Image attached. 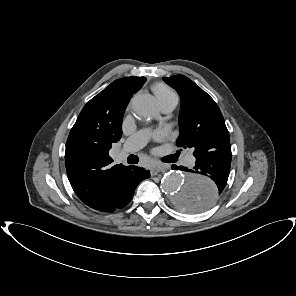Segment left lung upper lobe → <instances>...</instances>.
Segmentation results:
<instances>
[{"label": "left lung upper lobe", "instance_id": "left-lung-upper-lobe-1", "mask_svg": "<svg viewBox=\"0 0 296 296\" xmlns=\"http://www.w3.org/2000/svg\"><path fill=\"white\" fill-rule=\"evenodd\" d=\"M164 80L176 88L181 96L178 146L193 148L196 158L231 146L221 111L205 91L183 75L164 77ZM194 197L201 198L200 195ZM185 202L182 208L192 212L185 208Z\"/></svg>", "mask_w": 296, "mask_h": 296}]
</instances>
